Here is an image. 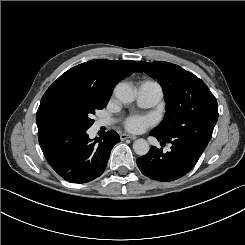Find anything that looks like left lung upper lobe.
I'll return each mask as SVG.
<instances>
[{"label":"left lung upper lobe","instance_id":"5c2ea615","mask_svg":"<svg viewBox=\"0 0 245 245\" xmlns=\"http://www.w3.org/2000/svg\"><path fill=\"white\" fill-rule=\"evenodd\" d=\"M157 79L165 94L166 114L154 130L163 136L203 133L211 137L218 119V105L206 84L194 74L168 62H139Z\"/></svg>","mask_w":245,"mask_h":245}]
</instances>
